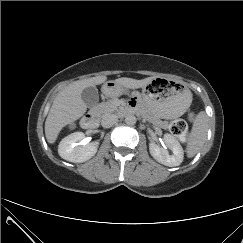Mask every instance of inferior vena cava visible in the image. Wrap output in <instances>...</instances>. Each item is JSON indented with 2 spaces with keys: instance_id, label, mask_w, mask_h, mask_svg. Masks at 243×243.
I'll return each instance as SVG.
<instances>
[{
  "instance_id": "1",
  "label": "inferior vena cava",
  "mask_w": 243,
  "mask_h": 243,
  "mask_svg": "<svg viewBox=\"0 0 243 243\" xmlns=\"http://www.w3.org/2000/svg\"><path fill=\"white\" fill-rule=\"evenodd\" d=\"M118 122V117L115 114H106L101 120V125L105 128H109Z\"/></svg>"
}]
</instances>
